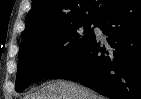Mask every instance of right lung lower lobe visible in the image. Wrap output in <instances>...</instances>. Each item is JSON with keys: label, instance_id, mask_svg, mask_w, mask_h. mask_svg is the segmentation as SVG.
<instances>
[{"label": "right lung lower lobe", "instance_id": "1", "mask_svg": "<svg viewBox=\"0 0 141 99\" xmlns=\"http://www.w3.org/2000/svg\"><path fill=\"white\" fill-rule=\"evenodd\" d=\"M95 26V35L70 64L52 75L83 83L111 99H141V0H117Z\"/></svg>", "mask_w": 141, "mask_h": 99}]
</instances>
